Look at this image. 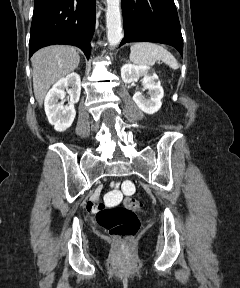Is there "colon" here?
Masks as SVG:
<instances>
[{
	"mask_svg": "<svg viewBox=\"0 0 240 288\" xmlns=\"http://www.w3.org/2000/svg\"><path fill=\"white\" fill-rule=\"evenodd\" d=\"M125 192L130 193L133 185L123 184ZM142 210V204L135 199H127L123 206L103 208L96 214V221L110 236L128 246L139 231L140 221L137 214Z\"/></svg>",
	"mask_w": 240,
	"mask_h": 288,
	"instance_id": "obj_1",
	"label": "colon"
}]
</instances>
